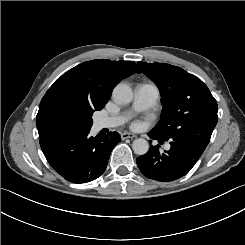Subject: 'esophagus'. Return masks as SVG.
<instances>
[{"instance_id":"34e87169","label":"esophagus","mask_w":245,"mask_h":245,"mask_svg":"<svg viewBox=\"0 0 245 245\" xmlns=\"http://www.w3.org/2000/svg\"><path fill=\"white\" fill-rule=\"evenodd\" d=\"M134 137H136V135L133 134V133L124 132V133L121 134V139L122 140H125L127 138H134Z\"/></svg>"}]
</instances>
